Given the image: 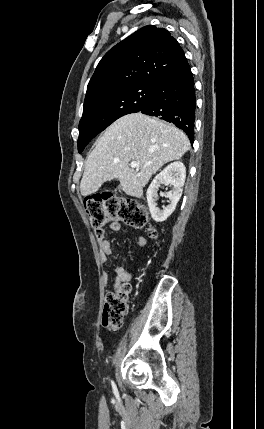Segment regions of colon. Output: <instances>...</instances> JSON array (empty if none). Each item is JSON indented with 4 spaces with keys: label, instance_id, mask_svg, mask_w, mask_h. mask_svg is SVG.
Wrapping results in <instances>:
<instances>
[{
    "label": "colon",
    "instance_id": "1",
    "mask_svg": "<svg viewBox=\"0 0 264 429\" xmlns=\"http://www.w3.org/2000/svg\"><path fill=\"white\" fill-rule=\"evenodd\" d=\"M84 207L91 226L101 232L103 226L111 220L122 221L135 229H141L148 223L146 209L138 202L113 194H94L84 201ZM148 236L156 240L159 232L148 228ZM131 292V286L123 283L105 295L102 324L110 330L120 329L123 325Z\"/></svg>",
    "mask_w": 264,
    "mask_h": 429
}]
</instances>
